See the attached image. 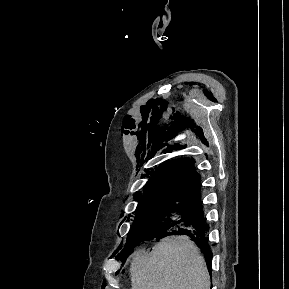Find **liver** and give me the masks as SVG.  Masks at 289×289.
Masks as SVG:
<instances>
[{"label": "liver", "instance_id": "6515ba94", "mask_svg": "<svg viewBox=\"0 0 289 289\" xmlns=\"http://www.w3.org/2000/svg\"><path fill=\"white\" fill-rule=\"evenodd\" d=\"M130 276L131 289H210L204 257L187 236L164 238L148 254L136 251Z\"/></svg>", "mask_w": 289, "mask_h": 289}]
</instances>
